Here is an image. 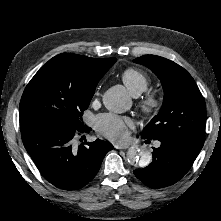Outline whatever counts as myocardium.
Masks as SVG:
<instances>
[{
    "label": "myocardium",
    "instance_id": "f54148a6",
    "mask_svg": "<svg viewBox=\"0 0 221 221\" xmlns=\"http://www.w3.org/2000/svg\"><path fill=\"white\" fill-rule=\"evenodd\" d=\"M160 106V98L155 93H148L140 102V108L146 116L156 114Z\"/></svg>",
    "mask_w": 221,
    "mask_h": 221
}]
</instances>
